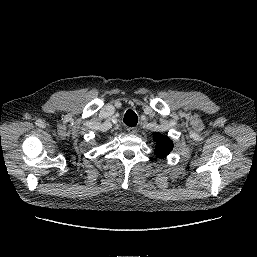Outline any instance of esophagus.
<instances>
[{
    "mask_svg": "<svg viewBox=\"0 0 257 257\" xmlns=\"http://www.w3.org/2000/svg\"><path fill=\"white\" fill-rule=\"evenodd\" d=\"M127 131L130 134H134L137 132V128L136 127H127Z\"/></svg>",
    "mask_w": 257,
    "mask_h": 257,
    "instance_id": "obj_1",
    "label": "esophagus"
}]
</instances>
